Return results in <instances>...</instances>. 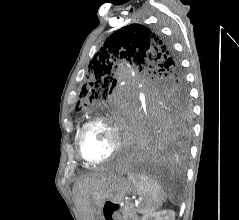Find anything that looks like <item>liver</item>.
Returning <instances> with one entry per match:
<instances>
[{
    "label": "liver",
    "mask_w": 239,
    "mask_h": 220,
    "mask_svg": "<svg viewBox=\"0 0 239 220\" xmlns=\"http://www.w3.org/2000/svg\"><path fill=\"white\" fill-rule=\"evenodd\" d=\"M115 175L112 172L100 176H86L74 186L76 202L80 209L87 213L90 211V193L94 189L105 186Z\"/></svg>",
    "instance_id": "1"
}]
</instances>
